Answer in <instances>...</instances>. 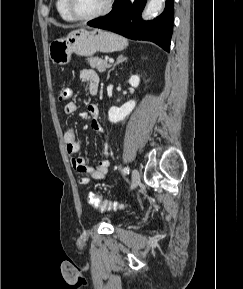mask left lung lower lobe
I'll return each instance as SVG.
<instances>
[{"label":"left lung lower lobe","instance_id":"left-lung-lower-lobe-1","mask_svg":"<svg viewBox=\"0 0 243 289\" xmlns=\"http://www.w3.org/2000/svg\"><path fill=\"white\" fill-rule=\"evenodd\" d=\"M173 2L166 0L164 12L152 21H142L141 12L146 0H115L112 11L89 26L108 29L134 40L156 43L169 52L173 30Z\"/></svg>","mask_w":243,"mask_h":289}]
</instances>
